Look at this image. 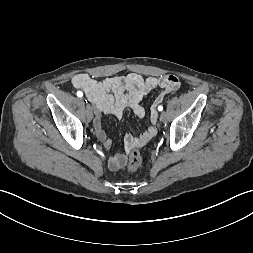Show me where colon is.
Segmentation results:
<instances>
[{"label": "colon", "mask_w": 253, "mask_h": 253, "mask_svg": "<svg viewBox=\"0 0 253 253\" xmlns=\"http://www.w3.org/2000/svg\"><path fill=\"white\" fill-rule=\"evenodd\" d=\"M142 164V155L138 149H134L129 156L127 168L129 171H136Z\"/></svg>", "instance_id": "5ec220e1"}]
</instances>
